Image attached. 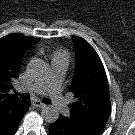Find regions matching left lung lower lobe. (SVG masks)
<instances>
[{"mask_svg":"<svg viewBox=\"0 0 135 135\" xmlns=\"http://www.w3.org/2000/svg\"><path fill=\"white\" fill-rule=\"evenodd\" d=\"M49 135H93L85 129L71 124L67 118L60 116L58 120L49 125Z\"/></svg>","mask_w":135,"mask_h":135,"instance_id":"0a47b994","label":"left lung lower lobe"}]
</instances>
